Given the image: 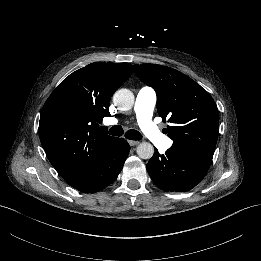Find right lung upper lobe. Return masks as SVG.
I'll use <instances>...</instances> for the list:
<instances>
[{"instance_id": "cb5924a9", "label": "right lung upper lobe", "mask_w": 261, "mask_h": 261, "mask_svg": "<svg viewBox=\"0 0 261 261\" xmlns=\"http://www.w3.org/2000/svg\"><path fill=\"white\" fill-rule=\"evenodd\" d=\"M132 72L129 63L89 64L66 77L45 102L39 136L64 179L102 159L117 139L99 124L110 116V98Z\"/></svg>"}]
</instances>
